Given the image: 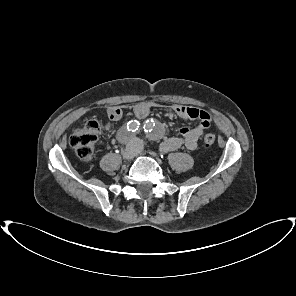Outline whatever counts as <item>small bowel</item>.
<instances>
[{"label": "small bowel", "instance_id": "c3829d8e", "mask_svg": "<svg viewBox=\"0 0 296 296\" xmlns=\"http://www.w3.org/2000/svg\"><path fill=\"white\" fill-rule=\"evenodd\" d=\"M153 106L154 105L150 102H140L134 105L133 112L138 119H144L148 116ZM171 109L180 118L199 119V124L194 128H180L179 136L164 140L160 146V150L164 153L174 151L182 147L189 150H195L198 146V140L203 135L205 130L211 126L210 114L207 111L198 108L176 104L172 105ZM106 112L109 119L106 129H110L113 124L121 120L123 113L117 106L108 107Z\"/></svg>", "mask_w": 296, "mask_h": 296}]
</instances>
